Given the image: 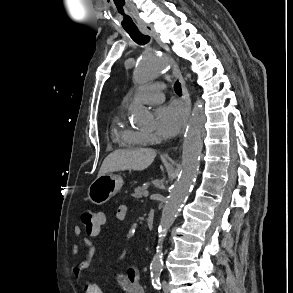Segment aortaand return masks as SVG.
I'll list each match as a JSON object with an SVG mask.
<instances>
[{
  "instance_id": "aorta-1",
  "label": "aorta",
  "mask_w": 293,
  "mask_h": 293,
  "mask_svg": "<svg viewBox=\"0 0 293 293\" xmlns=\"http://www.w3.org/2000/svg\"><path fill=\"white\" fill-rule=\"evenodd\" d=\"M167 55L155 51L142 56L134 72V81L137 85H144L168 71ZM134 121L139 125H146L151 120L150 113L142 106L132 108ZM205 114L203 103L198 100L193 107L186 134L183 141L182 163L179 176L173 184L162 211L158 227V246L151 262V270L159 271L163 266V241L169 228L174 223L177 214L190 194L195 178L199 171L202 152Z\"/></svg>"
}]
</instances>
